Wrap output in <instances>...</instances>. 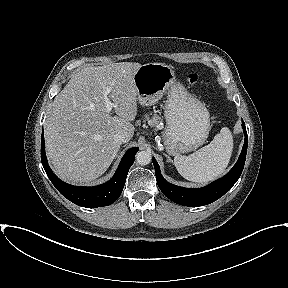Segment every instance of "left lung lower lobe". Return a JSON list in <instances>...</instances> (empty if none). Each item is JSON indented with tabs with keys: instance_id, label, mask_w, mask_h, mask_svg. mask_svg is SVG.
Masks as SVG:
<instances>
[{
	"instance_id": "0a47b994",
	"label": "left lung lower lobe",
	"mask_w": 288,
	"mask_h": 288,
	"mask_svg": "<svg viewBox=\"0 0 288 288\" xmlns=\"http://www.w3.org/2000/svg\"><path fill=\"white\" fill-rule=\"evenodd\" d=\"M242 127L245 133V141L238 161L223 178L212 182L206 187L197 189L183 188L167 182L161 175L157 161L153 158L156 180L164 195L177 204L198 207L210 204L228 192L239 179L246 160L248 136L244 121H242Z\"/></svg>"
}]
</instances>
